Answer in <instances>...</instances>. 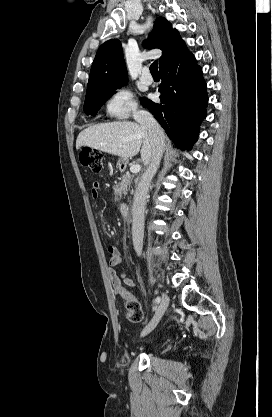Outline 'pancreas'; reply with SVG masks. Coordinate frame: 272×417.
<instances>
[{"label":"pancreas","mask_w":272,"mask_h":417,"mask_svg":"<svg viewBox=\"0 0 272 417\" xmlns=\"http://www.w3.org/2000/svg\"><path fill=\"white\" fill-rule=\"evenodd\" d=\"M132 183V177L129 174L122 175L120 182L113 186L115 200L122 198V193L126 192Z\"/></svg>","instance_id":"pancreas-1"}]
</instances>
